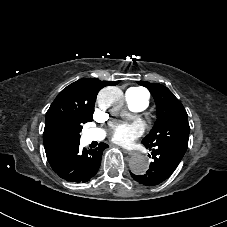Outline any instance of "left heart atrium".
<instances>
[{"mask_svg":"<svg viewBox=\"0 0 227 227\" xmlns=\"http://www.w3.org/2000/svg\"><path fill=\"white\" fill-rule=\"evenodd\" d=\"M110 139L116 144H130L145 131L144 123L136 119L131 122L112 121L109 124Z\"/></svg>","mask_w":227,"mask_h":227,"instance_id":"left-heart-atrium-1","label":"left heart atrium"}]
</instances>
